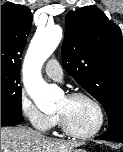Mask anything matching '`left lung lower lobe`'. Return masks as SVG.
Here are the masks:
<instances>
[{
    "label": "left lung lower lobe",
    "instance_id": "obj_1",
    "mask_svg": "<svg viewBox=\"0 0 123 152\" xmlns=\"http://www.w3.org/2000/svg\"><path fill=\"white\" fill-rule=\"evenodd\" d=\"M96 139L117 141L123 143V118H120L118 123L111 127V130L103 133Z\"/></svg>",
    "mask_w": 123,
    "mask_h": 152
}]
</instances>
